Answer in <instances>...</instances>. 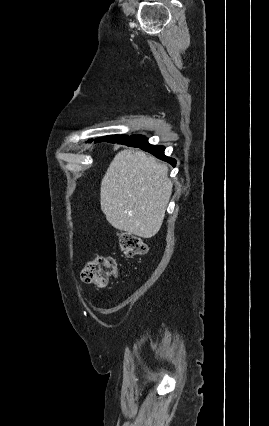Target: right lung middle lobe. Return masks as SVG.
I'll use <instances>...</instances> for the list:
<instances>
[{
	"label": "right lung middle lobe",
	"instance_id": "obj_1",
	"mask_svg": "<svg viewBox=\"0 0 269 426\" xmlns=\"http://www.w3.org/2000/svg\"><path fill=\"white\" fill-rule=\"evenodd\" d=\"M127 137L128 136H126V135H111V136H105V137H102V138L95 139L94 142L99 143V142L108 141V140H123Z\"/></svg>",
	"mask_w": 269,
	"mask_h": 426
}]
</instances>
